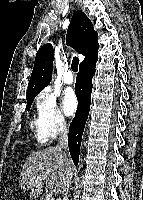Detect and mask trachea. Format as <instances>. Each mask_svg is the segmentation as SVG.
I'll list each match as a JSON object with an SVG mask.
<instances>
[{
	"instance_id": "1",
	"label": "trachea",
	"mask_w": 143,
	"mask_h": 200,
	"mask_svg": "<svg viewBox=\"0 0 143 200\" xmlns=\"http://www.w3.org/2000/svg\"><path fill=\"white\" fill-rule=\"evenodd\" d=\"M78 64H79V59L77 57H74L73 60H72V64H71V69L74 72L78 71Z\"/></svg>"
}]
</instances>
